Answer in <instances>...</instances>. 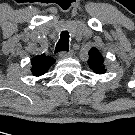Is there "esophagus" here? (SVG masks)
<instances>
[{
    "label": "esophagus",
    "mask_w": 135,
    "mask_h": 135,
    "mask_svg": "<svg viewBox=\"0 0 135 135\" xmlns=\"http://www.w3.org/2000/svg\"><path fill=\"white\" fill-rule=\"evenodd\" d=\"M73 52L72 51H67V52H61L59 54V58L63 59V58H68V57H72Z\"/></svg>",
    "instance_id": "esophagus-1"
}]
</instances>
